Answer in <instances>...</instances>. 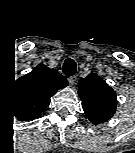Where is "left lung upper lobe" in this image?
<instances>
[{"label": "left lung upper lobe", "instance_id": "left-lung-upper-lobe-1", "mask_svg": "<svg viewBox=\"0 0 135 153\" xmlns=\"http://www.w3.org/2000/svg\"><path fill=\"white\" fill-rule=\"evenodd\" d=\"M82 108L93 124L109 120L115 113V91L97 74H90L79 81Z\"/></svg>", "mask_w": 135, "mask_h": 153}]
</instances>
